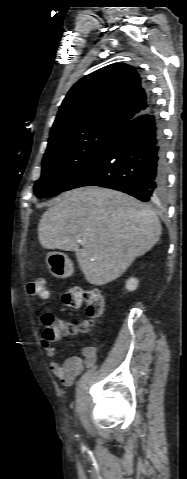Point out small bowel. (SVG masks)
<instances>
[{
  "instance_id": "obj_1",
  "label": "small bowel",
  "mask_w": 187,
  "mask_h": 479,
  "mask_svg": "<svg viewBox=\"0 0 187 479\" xmlns=\"http://www.w3.org/2000/svg\"><path fill=\"white\" fill-rule=\"evenodd\" d=\"M58 320L68 323L64 319ZM53 341L55 340H48L43 337L40 342L41 347L51 359L49 369L63 385L70 386L85 368H90L95 364L97 360L96 349L93 346H85L81 348L79 355H73L63 362H58L56 360V348L52 345Z\"/></svg>"
}]
</instances>
